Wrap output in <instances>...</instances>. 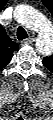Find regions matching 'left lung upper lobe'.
<instances>
[{
    "label": "left lung upper lobe",
    "mask_w": 53,
    "mask_h": 120,
    "mask_svg": "<svg viewBox=\"0 0 53 120\" xmlns=\"http://www.w3.org/2000/svg\"><path fill=\"white\" fill-rule=\"evenodd\" d=\"M46 6H48L49 5V1H46V0H41ZM50 7V6H49ZM51 57H46V58H44V60H43V62H44V64H45V66L46 67H48L49 65H50V63H49V59H50Z\"/></svg>",
    "instance_id": "5c2ea615"
}]
</instances>
